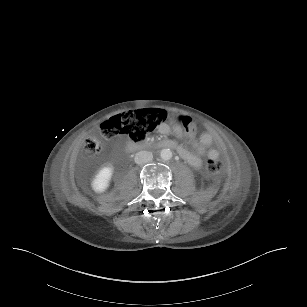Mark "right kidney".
Instances as JSON below:
<instances>
[{
	"instance_id": "right-kidney-1",
	"label": "right kidney",
	"mask_w": 307,
	"mask_h": 307,
	"mask_svg": "<svg viewBox=\"0 0 307 307\" xmlns=\"http://www.w3.org/2000/svg\"><path fill=\"white\" fill-rule=\"evenodd\" d=\"M113 172L112 166L101 168L91 181V189L97 194L106 192L110 186Z\"/></svg>"
}]
</instances>
